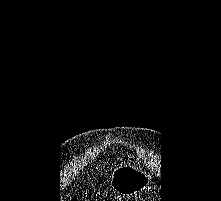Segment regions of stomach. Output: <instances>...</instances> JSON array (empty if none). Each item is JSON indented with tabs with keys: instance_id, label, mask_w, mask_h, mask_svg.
Here are the masks:
<instances>
[{
	"instance_id": "1",
	"label": "stomach",
	"mask_w": 221,
	"mask_h": 201,
	"mask_svg": "<svg viewBox=\"0 0 221 201\" xmlns=\"http://www.w3.org/2000/svg\"><path fill=\"white\" fill-rule=\"evenodd\" d=\"M151 182V175L141 168L124 165L115 168L111 187L120 195H132L144 190Z\"/></svg>"
}]
</instances>
